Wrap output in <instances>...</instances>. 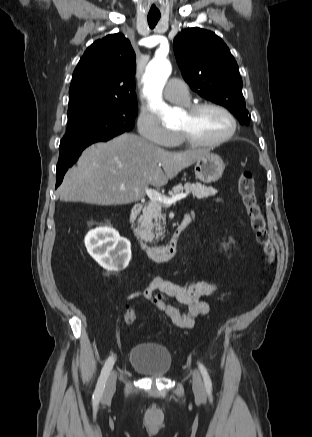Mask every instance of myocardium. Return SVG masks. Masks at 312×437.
Masks as SVG:
<instances>
[{"label": "myocardium", "mask_w": 312, "mask_h": 437, "mask_svg": "<svg viewBox=\"0 0 312 437\" xmlns=\"http://www.w3.org/2000/svg\"><path fill=\"white\" fill-rule=\"evenodd\" d=\"M206 108H214L222 112L230 122V128L226 134L223 136L212 139V140H198L191 136L186 130L180 129L178 130L180 141L186 145L194 146V147H210L223 144L230 140L237 131V119L234 114L224 105L217 102H199L194 103L186 107L185 112L189 116H193L197 112L206 109Z\"/></svg>", "instance_id": "1"}]
</instances>
